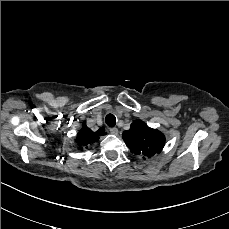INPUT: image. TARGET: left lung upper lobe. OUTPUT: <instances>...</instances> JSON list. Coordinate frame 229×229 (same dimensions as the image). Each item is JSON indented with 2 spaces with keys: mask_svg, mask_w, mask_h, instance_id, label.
<instances>
[{
  "mask_svg": "<svg viewBox=\"0 0 229 229\" xmlns=\"http://www.w3.org/2000/svg\"><path fill=\"white\" fill-rule=\"evenodd\" d=\"M123 139L132 153L152 157L160 153L165 144V136L162 132L148 127L141 120L134 121L130 129L124 131Z\"/></svg>",
  "mask_w": 229,
  "mask_h": 229,
  "instance_id": "1",
  "label": "left lung upper lobe"
}]
</instances>
